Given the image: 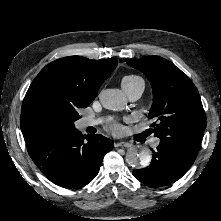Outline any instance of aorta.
Returning a JSON list of instances; mask_svg holds the SVG:
<instances>
[{"label":"aorta","instance_id":"obj_1","mask_svg":"<svg viewBox=\"0 0 221 221\" xmlns=\"http://www.w3.org/2000/svg\"><path fill=\"white\" fill-rule=\"evenodd\" d=\"M100 102L104 108L119 111L125 108L127 101L119 89H105L100 94ZM126 161L133 168L146 167L151 162V153L147 148L133 146L126 152Z\"/></svg>","mask_w":221,"mask_h":221}]
</instances>
